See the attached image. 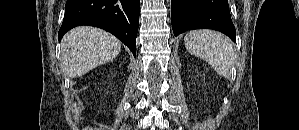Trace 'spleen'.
Wrapping results in <instances>:
<instances>
[{"instance_id":"3e777b00","label":"spleen","mask_w":299,"mask_h":130,"mask_svg":"<svg viewBox=\"0 0 299 130\" xmlns=\"http://www.w3.org/2000/svg\"><path fill=\"white\" fill-rule=\"evenodd\" d=\"M186 49L204 59L219 75L228 78L235 49L223 34L212 30H194L184 37Z\"/></svg>"}]
</instances>
